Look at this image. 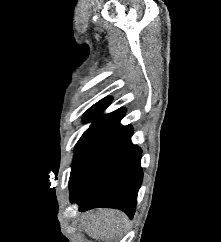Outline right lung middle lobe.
Wrapping results in <instances>:
<instances>
[{
	"label": "right lung middle lobe",
	"instance_id": "right-lung-middle-lobe-1",
	"mask_svg": "<svg viewBox=\"0 0 221 242\" xmlns=\"http://www.w3.org/2000/svg\"><path fill=\"white\" fill-rule=\"evenodd\" d=\"M99 127L98 126H93L91 125L90 128H88L84 134L81 136V138L79 139V141L77 142L76 146H75V153L77 152V150L80 148V146L84 143V141L95 131L97 130Z\"/></svg>",
	"mask_w": 221,
	"mask_h": 242
}]
</instances>
